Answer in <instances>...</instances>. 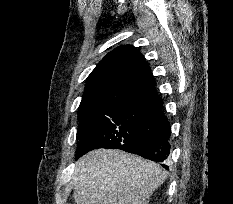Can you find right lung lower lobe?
Listing matches in <instances>:
<instances>
[{"label":"right lung lower lobe","instance_id":"obj_1","mask_svg":"<svg viewBox=\"0 0 233 204\" xmlns=\"http://www.w3.org/2000/svg\"><path fill=\"white\" fill-rule=\"evenodd\" d=\"M152 103L159 110L160 115H162L167 120L166 116L162 114L163 102L160 100V98L157 97L155 100L152 101ZM170 132L171 131L168 122L167 127L163 129L161 132L132 141L127 144H123L116 149H121L126 152L138 154L142 157L156 162H163L170 154V145L168 142L170 138ZM96 148L101 147H91L90 145H82L77 149L76 158ZM163 167L167 168L165 165H163Z\"/></svg>","mask_w":233,"mask_h":204}]
</instances>
